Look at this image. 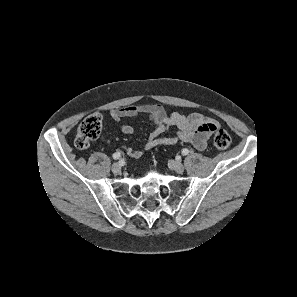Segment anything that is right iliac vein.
<instances>
[{
	"instance_id": "1",
	"label": "right iliac vein",
	"mask_w": 297,
	"mask_h": 297,
	"mask_svg": "<svg viewBox=\"0 0 297 297\" xmlns=\"http://www.w3.org/2000/svg\"><path fill=\"white\" fill-rule=\"evenodd\" d=\"M111 169L114 174H119V173H121L122 167L119 163H114L112 165Z\"/></svg>"
}]
</instances>
